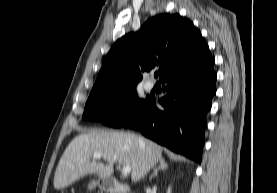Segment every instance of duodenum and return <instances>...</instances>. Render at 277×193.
Instances as JSON below:
<instances>
[{
	"mask_svg": "<svg viewBox=\"0 0 277 193\" xmlns=\"http://www.w3.org/2000/svg\"><path fill=\"white\" fill-rule=\"evenodd\" d=\"M103 186L110 193H131L128 185L120 183L115 179H106Z\"/></svg>",
	"mask_w": 277,
	"mask_h": 193,
	"instance_id": "1",
	"label": "duodenum"
}]
</instances>
